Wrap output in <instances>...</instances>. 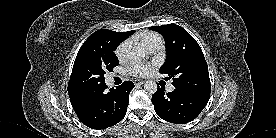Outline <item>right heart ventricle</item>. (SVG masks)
Masks as SVG:
<instances>
[{
    "label": "right heart ventricle",
    "mask_w": 276,
    "mask_h": 138,
    "mask_svg": "<svg viewBox=\"0 0 276 138\" xmlns=\"http://www.w3.org/2000/svg\"><path fill=\"white\" fill-rule=\"evenodd\" d=\"M137 40L140 41L148 50L155 45H161V37L152 31H144L137 36Z\"/></svg>",
    "instance_id": "e07e8e85"
}]
</instances>
